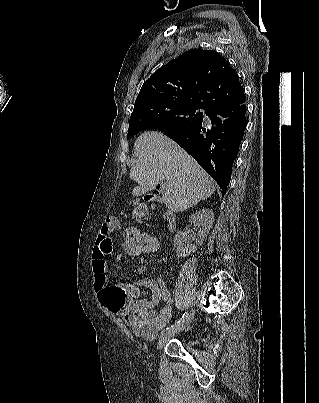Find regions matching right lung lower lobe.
I'll list each match as a JSON object with an SVG mask.
<instances>
[{
    "label": "right lung lower lobe",
    "mask_w": 319,
    "mask_h": 403,
    "mask_svg": "<svg viewBox=\"0 0 319 403\" xmlns=\"http://www.w3.org/2000/svg\"><path fill=\"white\" fill-rule=\"evenodd\" d=\"M206 115L211 127L202 118L192 125L161 131L196 159L224 195L247 125L245 101L207 111Z\"/></svg>",
    "instance_id": "obj_1"
}]
</instances>
